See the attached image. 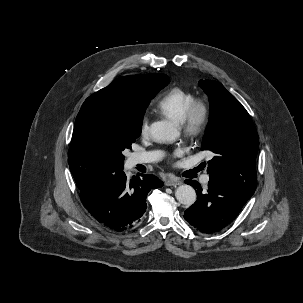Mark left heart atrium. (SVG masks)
Here are the masks:
<instances>
[{
  "label": "left heart atrium",
  "instance_id": "1",
  "mask_svg": "<svg viewBox=\"0 0 303 303\" xmlns=\"http://www.w3.org/2000/svg\"><path fill=\"white\" fill-rule=\"evenodd\" d=\"M178 154H180V151H179V150H177V151H175V152L173 153L174 156H176V155H178Z\"/></svg>",
  "mask_w": 303,
  "mask_h": 303
}]
</instances>
